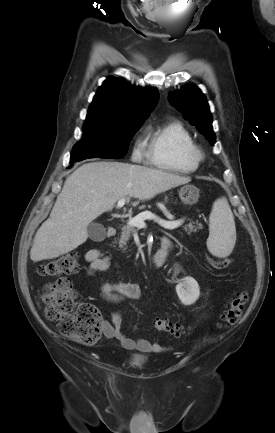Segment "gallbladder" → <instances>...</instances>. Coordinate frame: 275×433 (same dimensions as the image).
I'll return each mask as SVG.
<instances>
[{"label": "gallbladder", "instance_id": "gallbladder-1", "mask_svg": "<svg viewBox=\"0 0 275 433\" xmlns=\"http://www.w3.org/2000/svg\"><path fill=\"white\" fill-rule=\"evenodd\" d=\"M88 235L94 241H100L105 238L106 229L100 223H91L88 226Z\"/></svg>", "mask_w": 275, "mask_h": 433}]
</instances>
